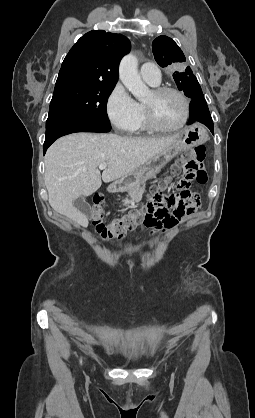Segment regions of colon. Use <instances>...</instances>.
Listing matches in <instances>:
<instances>
[{"label": "colon", "instance_id": "obj_1", "mask_svg": "<svg viewBox=\"0 0 255 418\" xmlns=\"http://www.w3.org/2000/svg\"><path fill=\"white\" fill-rule=\"evenodd\" d=\"M205 148L197 146L182 156V161L171 167L170 174L180 170L183 178L178 184L175 193L165 195L158 190L153 191L150 201L147 203L143 218L149 228L160 229L169 227L174 220L192 217L193 212L200 206L197 194L189 190L191 183L204 184L207 181V173L204 168ZM140 214L131 213L126 216L113 218L107 225L103 221L102 197L94 199L92 224L99 235L106 241L119 240L123 237L126 228L138 221Z\"/></svg>", "mask_w": 255, "mask_h": 418}]
</instances>
